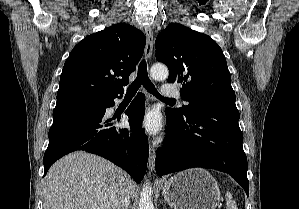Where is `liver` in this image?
<instances>
[{
  "label": "liver",
  "mask_w": 299,
  "mask_h": 209,
  "mask_svg": "<svg viewBox=\"0 0 299 209\" xmlns=\"http://www.w3.org/2000/svg\"><path fill=\"white\" fill-rule=\"evenodd\" d=\"M124 188L136 184L121 168L84 151L70 153L49 169L43 182L44 209H118Z\"/></svg>",
  "instance_id": "obj_1"
}]
</instances>
